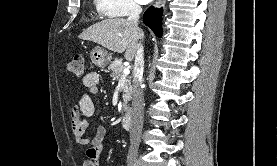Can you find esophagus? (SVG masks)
I'll return each mask as SVG.
<instances>
[{
  "mask_svg": "<svg viewBox=\"0 0 277 166\" xmlns=\"http://www.w3.org/2000/svg\"><path fill=\"white\" fill-rule=\"evenodd\" d=\"M164 1H165V0H156L155 6H156V7H160L161 5H163Z\"/></svg>",
  "mask_w": 277,
  "mask_h": 166,
  "instance_id": "esophagus-1",
  "label": "esophagus"
}]
</instances>
